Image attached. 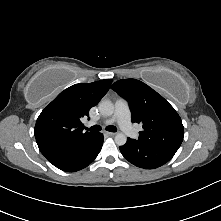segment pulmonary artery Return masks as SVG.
Masks as SVG:
<instances>
[{
    "label": "pulmonary artery",
    "mask_w": 221,
    "mask_h": 221,
    "mask_svg": "<svg viewBox=\"0 0 221 221\" xmlns=\"http://www.w3.org/2000/svg\"><path fill=\"white\" fill-rule=\"evenodd\" d=\"M113 122H117L126 135L130 137L136 136V131L131 123V112L129 105L127 101L122 98H118L115 101L114 115L104 123L111 124ZM89 124L92 125L93 123L90 122Z\"/></svg>",
    "instance_id": "1"
}]
</instances>
